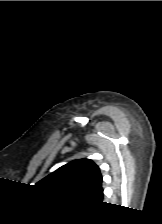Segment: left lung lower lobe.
I'll list each match as a JSON object with an SVG mask.
<instances>
[{
    "label": "left lung lower lobe",
    "mask_w": 162,
    "mask_h": 224,
    "mask_svg": "<svg viewBox=\"0 0 162 224\" xmlns=\"http://www.w3.org/2000/svg\"><path fill=\"white\" fill-rule=\"evenodd\" d=\"M91 200L96 201V202H102L103 199V189L101 188L97 192H95L91 197Z\"/></svg>",
    "instance_id": "0a47b994"
}]
</instances>
